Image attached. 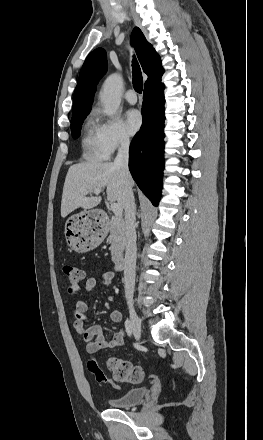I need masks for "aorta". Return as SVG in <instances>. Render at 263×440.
<instances>
[{"mask_svg":"<svg viewBox=\"0 0 263 440\" xmlns=\"http://www.w3.org/2000/svg\"><path fill=\"white\" fill-rule=\"evenodd\" d=\"M123 81L119 74H111L104 82L99 97L104 105L105 113L113 116L121 102Z\"/></svg>","mask_w":263,"mask_h":440,"instance_id":"1","label":"aorta"}]
</instances>
